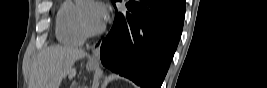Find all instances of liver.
Wrapping results in <instances>:
<instances>
[{"instance_id":"liver-1","label":"liver","mask_w":267,"mask_h":88,"mask_svg":"<svg viewBox=\"0 0 267 88\" xmlns=\"http://www.w3.org/2000/svg\"><path fill=\"white\" fill-rule=\"evenodd\" d=\"M86 56L82 49L69 46H50L42 50L34 60L29 88H59L62 80L68 75L72 79L76 69L75 61Z\"/></svg>"}]
</instances>
